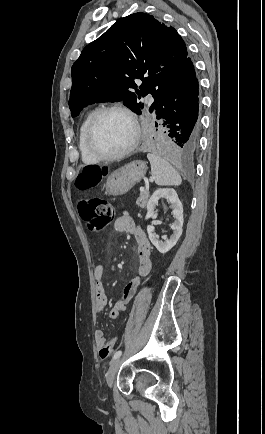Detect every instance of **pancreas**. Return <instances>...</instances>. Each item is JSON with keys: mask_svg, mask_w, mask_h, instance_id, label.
I'll return each mask as SVG.
<instances>
[{"mask_svg": "<svg viewBox=\"0 0 265 434\" xmlns=\"http://www.w3.org/2000/svg\"><path fill=\"white\" fill-rule=\"evenodd\" d=\"M149 198V192L147 190H144V192H141L140 198H138L136 204L137 206H140V208H145Z\"/></svg>", "mask_w": 265, "mask_h": 434, "instance_id": "1", "label": "pancreas"}]
</instances>
